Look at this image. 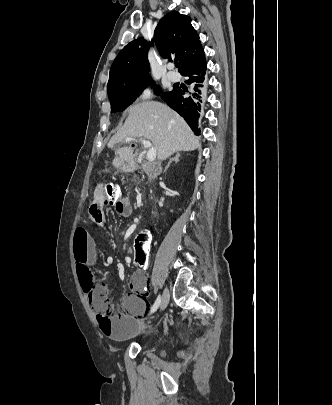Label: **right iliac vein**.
<instances>
[{"label":"right iliac vein","mask_w":332,"mask_h":405,"mask_svg":"<svg viewBox=\"0 0 332 405\" xmlns=\"http://www.w3.org/2000/svg\"><path fill=\"white\" fill-rule=\"evenodd\" d=\"M169 299H170L169 290L165 288L161 296L160 310H164L167 307Z\"/></svg>","instance_id":"1"}]
</instances>
